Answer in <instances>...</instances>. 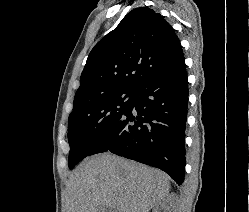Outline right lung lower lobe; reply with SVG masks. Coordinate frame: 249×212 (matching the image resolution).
<instances>
[{
  "label": "right lung lower lobe",
  "instance_id": "obj_1",
  "mask_svg": "<svg viewBox=\"0 0 249 212\" xmlns=\"http://www.w3.org/2000/svg\"><path fill=\"white\" fill-rule=\"evenodd\" d=\"M188 81L184 57L140 86L130 107L93 154L110 151L165 171L181 184L185 175Z\"/></svg>",
  "mask_w": 249,
  "mask_h": 212
}]
</instances>
